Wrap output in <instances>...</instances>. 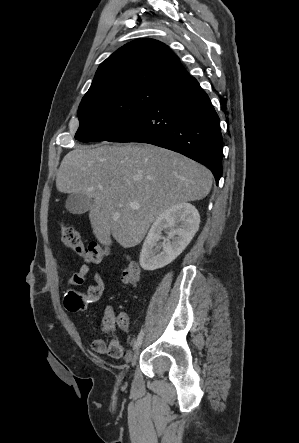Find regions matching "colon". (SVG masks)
Here are the masks:
<instances>
[{"instance_id":"5ec220e1","label":"colon","mask_w":299,"mask_h":443,"mask_svg":"<svg viewBox=\"0 0 299 443\" xmlns=\"http://www.w3.org/2000/svg\"><path fill=\"white\" fill-rule=\"evenodd\" d=\"M59 234L62 242L88 264H100L107 254L106 249L98 243H90L88 246H85L81 240L79 232L69 224H62L60 226ZM121 279L126 284H136L139 281L138 264L129 260L122 270ZM125 324V317L119 314L115 319L113 328L115 326L124 327Z\"/></svg>"}]
</instances>
